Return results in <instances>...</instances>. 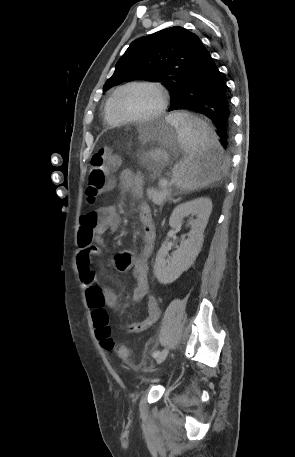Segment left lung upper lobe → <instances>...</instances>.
<instances>
[{"label": "left lung upper lobe", "mask_w": 295, "mask_h": 457, "mask_svg": "<svg viewBox=\"0 0 295 457\" xmlns=\"http://www.w3.org/2000/svg\"><path fill=\"white\" fill-rule=\"evenodd\" d=\"M203 45L199 37L180 27L163 29L133 41L118 60L103 90L124 81L159 82L174 100L186 81V71Z\"/></svg>", "instance_id": "5c2ea615"}]
</instances>
